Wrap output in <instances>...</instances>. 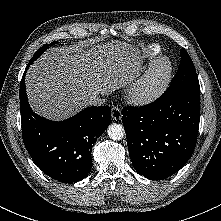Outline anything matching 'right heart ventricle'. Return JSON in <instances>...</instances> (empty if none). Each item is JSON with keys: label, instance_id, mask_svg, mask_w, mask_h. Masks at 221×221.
<instances>
[{"label": "right heart ventricle", "instance_id": "e07e8e85", "mask_svg": "<svg viewBox=\"0 0 221 221\" xmlns=\"http://www.w3.org/2000/svg\"><path fill=\"white\" fill-rule=\"evenodd\" d=\"M158 53H159V49H158V47H154V48H153L152 56L155 57V56L158 55Z\"/></svg>", "mask_w": 221, "mask_h": 221}]
</instances>
